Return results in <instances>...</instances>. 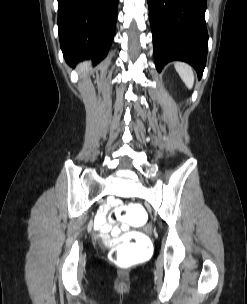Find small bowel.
I'll list each match as a JSON object with an SVG mask.
<instances>
[{"label": "small bowel", "instance_id": "1", "mask_svg": "<svg viewBox=\"0 0 247 304\" xmlns=\"http://www.w3.org/2000/svg\"><path fill=\"white\" fill-rule=\"evenodd\" d=\"M111 204L115 205L117 204V201L115 199H111ZM106 210V207H103L100 210L94 221V227L96 229H100L103 237H109V233L113 236H118L121 233V230L119 228H112V225H110V222L107 220ZM122 229H127V225H123Z\"/></svg>", "mask_w": 247, "mask_h": 304}]
</instances>
